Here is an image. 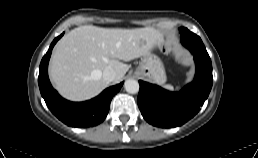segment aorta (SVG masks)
<instances>
[{
  "label": "aorta",
  "mask_w": 258,
  "mask_h": 158,
  "mask_svg": "<svg viewBox=\"0 0 258 158\" xmlns=\"http://www.w3.org/2000/svg\"><path fill=\"white\" fill-rule=\"evenodd\" d=\"M124 87L130 94H136L139 91V83L134 79H127L124 83Z\"/></svg>",
  "instance_id": "obj_1"
}]
</instances>
